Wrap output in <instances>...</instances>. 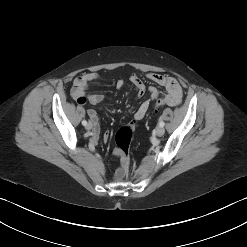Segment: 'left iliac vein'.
Here are the masks:
<instances>
[{
    "instance_id": "4c4485c4",
    "label": "left iliac vein",
    "mask_w": 247,
    "mask_h": 247,
    "mask_svg": "<svg viewBox=\"0 0 247 247\" xmlns=\"http://www.w3.org/2000/svg\"><path fill=\"white\" fill-rule=\"evenodd\" d=\"M165 133V129L161 126L157 127L156 130H155V134L158 136V137H161L163 136Z\"/></svg>"
}]
</instances>
